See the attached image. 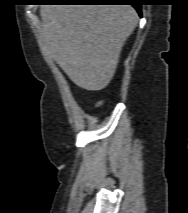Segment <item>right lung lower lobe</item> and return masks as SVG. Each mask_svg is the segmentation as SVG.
<instances>
[{
    "label": "right lung lower lobe",
    "mask_w": 188,
    "mask_h": 213,
    "mask_svg": "<svg viewBox=\"0 0 188 213\" xmlns=\"http://www.w3.org/2000/svg\"><path fill=\"white\" fill-rule=\"evenodd\" d=\"M49 2H82V3H121L133 2L132 6L141 14V5L135 0H50Z\"/></svg>",
    "instance_id": "right-lung-lower-lobe-1"
}]
</instances>
